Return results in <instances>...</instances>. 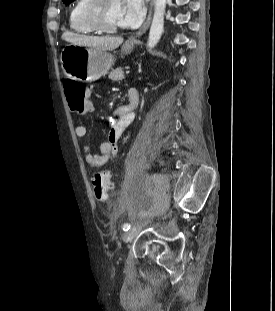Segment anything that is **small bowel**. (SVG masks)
<instances>
[{"mask_svg": "<svg viewBox=\"0 0 275 311\" xmlns=\"http://www.w3.org/2000/svg\"><path fill=\"white\" fill-rule=\"evenodd\" d=\"M131 96L136 98L138 101V93L135 89H131L129 91V97ZM121 107H123L124 110L116 109L113 111V116L109 119L107 140L100 145L99 151L97 153H93L91 152L89 145L87 143L84 144V156L88 166L92 168L101 167L107 163L110 158L115 156L117 152V143L121 138L124 130L133 121L134 118V106H132L130 100L128 105ZM74 133L77 138H84L86 136L87 129L84 125V120L82 117L77 120Z\"/></svg>", "mask_w": 275, "mask_h": 311, "instance_id": "1", "label": "small bowel"}]
</instances>
